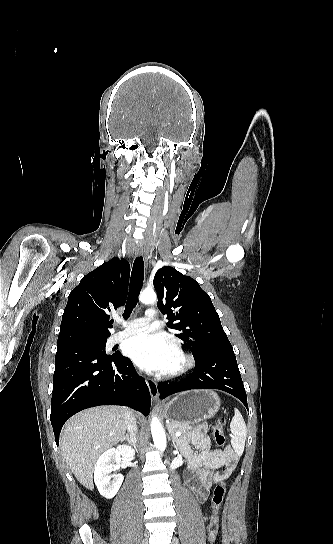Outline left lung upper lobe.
<instances>
[{
  "instance_id": "5c2ea615",
  "label": "left lung upper lobe",
  "mask_w": 333,
  "mask_h": 544,
  "mask_svg": "<svg viewBox=\"0 0 333 544\" xmlns=\"http://www.w3.org/2000/svg\"><path fill=\"white\" fill-rule=\"evenodd\" d=\"M154 287L167 326L179 331L175 335L194 359L214 352L234 353L211 298L196 280L166 266L156 272Z\"/></svg>"
}]
</instances>
